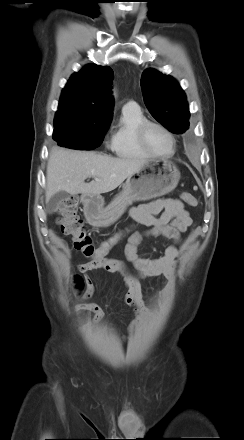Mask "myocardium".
Segmentation results:
<instances>
[{
  "instance_id": "obj_1",
  "label": "myocardium",
  "mask_w": 244,
  "mask_h": 440,
  "mask_svg": "<svg viewBox=\"0 0 244 440\" xmlns=\"http://www.w3.org/2000/svg\"><path fill=\"white\" fill-rule=\"evenodd\" d=\"M152 126L157 127L159 129H161L162 131H164L171 139L173 148L169 154H165V155L156 154L148 148L147 143H146V132H147L148 128L152 127ZM135 136H136V141H137L138 145L141 147V149L144 152H146L150 156L168 157V156H172L176 152L177 143H176V139H175L174 134L167 127H165L164 125H162L159 122L151 121V120H145V121L141 122L136 128Z\"/></svg>"
}]
</instances>
